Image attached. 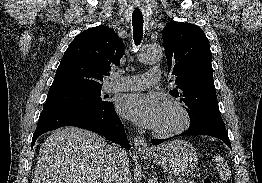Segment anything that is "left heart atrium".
<instances>
[{
  "label": "left heart atrium",
  "instance_id": "left-heart-atrium-1",
  "mask_svg": "<svg viewBox=\"0 0 262 183\" xmlns=\"http://www.w3.org/2000/svg\"><path fill=\"white\" fill-rule=\"evenodd\" d=\"M162 107L163 104L155 94H127L118 103V111L122 116L147 129L156 127Z\"/></svg>",
  "mask_w": 262,
  "mask_h": 183
}]
</instances>
